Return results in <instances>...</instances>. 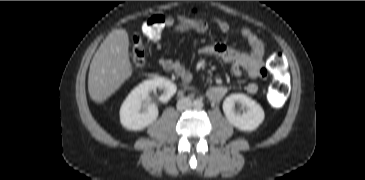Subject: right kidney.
Wrapping results in <instances>:
<instances>
[{
  "label": "right kidney",
  "mask_w": 365,
  "mask_h": 180,
  "mask_svg": "<svg viewBox=\"0 0 365 180\" xmlns=\"http://www.w3.org/2000/svg\"><path fill=\"white\" fill-rule=\"evenodd\" d=\"M163 90L160 101L168 102L176 93L174 83L164 77L146 80L135 87L127 96L120 108V122L128 130H142L152 124L158 117V108L154 103L145 102L149 93Z\"/></svg>",
  "instance_id": "right-kidney-1"
}]
</instances>
